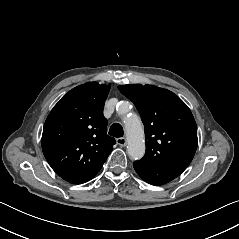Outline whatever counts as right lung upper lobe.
Returning a JSON list of instances; mask_svg holds the SVG:
<instances>
[{"mask_svg":"<svg viewBox=\"0 0 239 239\" xmlns=\"http://www.w3.org/2000/svg\"><path fill=\"white\" fill-rule=\"evenodd\" d=\"M110 86L89 82L70 90L48 115L42 134V150L61 178L94 177L113 150L115 139L107 135L104 103Z\"/></svg>","mask_w":239,"mask_h":239,"instance_id":"right-lung-upper-lobe-1","label":"right lung upper lobe"}]
</instances>
